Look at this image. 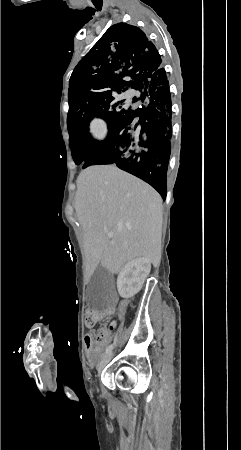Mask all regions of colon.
<instances>
[{
  "mask_svg": "<svg viewBox=\"0 0 241 450\" xmlns=\"http://www.w3.org/2000/svg\"><path fill=\"white\" fill-rule=\"evenodd\" d=\"M111 313L113 315H116L118 313V310L116 308H113L111 310ZM99 322V314L96 309H93L90 313L84 314V325L88 326L90 328L95 327V325Z\"/></svg>",
  "mask_w": 241,
  "mask_h": 450,
  "instance_id": "obj_1",
  "label": "colon"
}]
</instances>
